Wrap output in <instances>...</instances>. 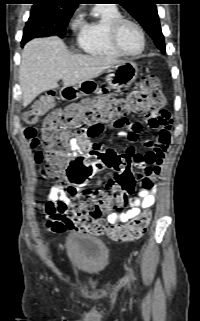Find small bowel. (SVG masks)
Returning a JSON list of instances; mask_svg holds the SVG:
<instances>
[{
	"mask_svg": "<svg viewBox=\"0 0 200 321\" xmlns=\"http://www.w3.org/2000/svg\"><path fill=\"white\" fill-rule=\"evenodd\" d=\"M140 85L134 83L132 86H125L121 91H117L114 87H109L104 83L99 88V93L103 95L113 94L114 98H123L132 93L133 89L138 90ZM148 127L159 132L155 140L145 142L148 150L145 153L136 151L133 147H128L121 156L130 160L131 164L141 171L140 182L141 189L129 199V208L126 211L112 212L107 215V221L111 225L124 224L127 221L137 217L141 209H147L154 205L158 192L155 181L161 172V165L164 156L169 149L171 140L172 120L170 114L166 110H156L149 112L145 117ZM117 127L121 128L118 136L129 142L137 140L141 131V125L137 122L123 120ZM69 157L80 154H87L94 150H102L101 146L93 143L87 136H77L69 142ZM119 155V154H118ZM67 189L62 185L56 184L52 186L47 194V203L55 207L54 212H46L47 227L56 233H62L73 229L74 225L66 219L67 212L72 205V198L67 197Z\"/></svg>",
	"mask_w": 200,
	"mask_h": 321,
	"instance_id": "obj_1",
	"label": "small bowel"
}]
</instances>
